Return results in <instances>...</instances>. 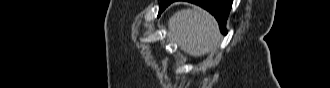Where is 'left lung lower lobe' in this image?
Returning a JSON list of instances; mask_svg holds the SVG:
<instances>
[{
    "instance_id": "1",
    "label": "left lung lower lobe",
    "mask_w": 330,
    "mask_h": 88,
    "mask_svg": "<svg viewBox=\"0 0 330 88\" xmlns=\"http://www.w3.org/2000/svg\"><path fill=\"white\" fill-rule=\"evenodd\" d=\"M177 0H161L159 5V15L165 10V8L172 2ZM201 6L202 8L209 11L218 21L220 30L227 34L226 21L232 6L233 0H185Z\"/></svg>"
}]
</instances>
